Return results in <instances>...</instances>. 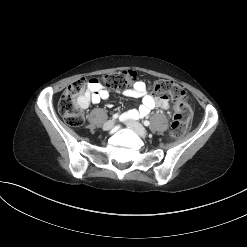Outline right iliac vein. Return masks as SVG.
<instances>
[{
  "instance_id": "1",
  "label": "right iliac vein",
  "mask_w": 247,
  "mask_h": 247,
  "mask_svg": "<svg viewBox=\"0 0 247 247\" xmlns=\"http://www.w3.org/2000/svg\"><path fill=\"white\" fill-rule=\"evenodd\" d=\"M114 125H115V121L114 120H109L106 123H104L103 129L104 130H110V129H112L114 127Z\"/></svg>"
}]
</instances>
